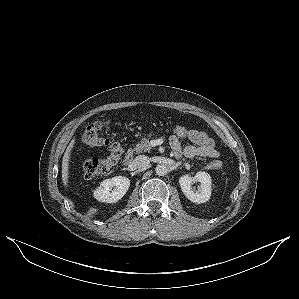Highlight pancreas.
Segmentation results:
<instances>
[{"label": "pancreas", "instance_id": "obj_1", "mask_svg": "<svg viewBox=\"0 0 299 299\" xmlns=\"http://www.w3.org/2000/svg\"><path fill=\"white\" fill-rule=\"evenodd\" d=\"M150 141L149 138L142 139L135 147L133 148V151L137 153L147 152L150 151Z\"/></svg>", "mask_w": 299, "mask_h": 299}]
</instances>
